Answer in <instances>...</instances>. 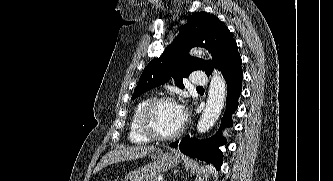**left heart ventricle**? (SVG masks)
<instances>
[{
	"instance_id": "obj_1",
	"label": "left heart ventricle",
	"mask_w": 333,
	"mask_h": 181,
	"mask_svg": "<svg viewBox=\"0 0 333 181\" xmlns=\"http://www.w3.org/2000/svg\"><path fill=\"white\" fill-rule=\"evenodd\" d=\"M152 124L161 134H170L181 127L178 119V105L173 103L160 104L152 115Z\"/></svg>"
}]
</instances>
